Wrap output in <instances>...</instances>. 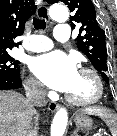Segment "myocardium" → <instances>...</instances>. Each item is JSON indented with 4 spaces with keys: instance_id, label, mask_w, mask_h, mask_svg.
Instances as JSON below:
<instances>
[{
    "instance_id": "f54148a6",
    "label": "myocardium",
    "mask_w": 117,
    "mask_h": 136,
    "mask_svg": "<svg viewBox=\"0 0 117 136\" xmlns=\"http://www.w3.org/2000/svg\"><path fill=\"white\" fill-rule=\"evenodd\" d=\"M79 72L86 73L92 77L95 83L96 92L91 98L85 100L75 99L67 93L65 94L66 100L76 106H89L99 102L104 95V83L102 78L94 69L89 67H82L79 69Z\"/></svg>"
}]
</instances>
